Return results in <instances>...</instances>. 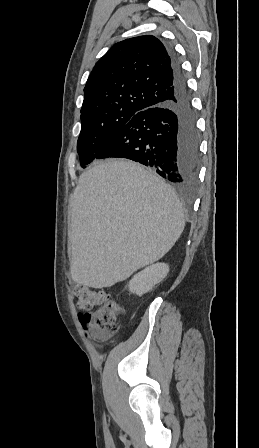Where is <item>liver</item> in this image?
<instances>
[{
  "mask_svg": "<svg viewBox=\"0 0 259 448\" xmlns=\"http://www.w3.org/2000/svg\"><path fill=\"white\" fill-rule=\"evenodd\" d=\"M71 202V278L89 288H110L157 262L185 226L172 188L131 160L83 172Z\"/></svg>",
  "mask_w": 259,
  "mask_h": 448,
  "instance_id": "obj_1",
  "label": "liver"
}]
</instances>
